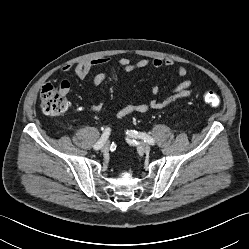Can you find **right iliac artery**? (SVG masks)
I'll use <instances>...</instances> for the list:
<instances>
[{"mask_svg":"<svg viewBox=\"0 0 249 249\" xmlns=\"http://www.w3.org/2000/svg\"><path fill=\"white\" fill-rule=\"evenodd\" d=\"M110 128H106L104 133L102 134L101 138L96 142V144L94 145V149L95 150H99L103 144L105 143V141L108 139L109 135H110Z\"/></svg>","mask_w":249,"mask_h":249,"instance_id":"82829eb1","label":"right iliac artery"}]
</instances>
